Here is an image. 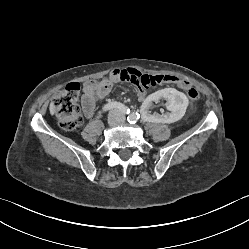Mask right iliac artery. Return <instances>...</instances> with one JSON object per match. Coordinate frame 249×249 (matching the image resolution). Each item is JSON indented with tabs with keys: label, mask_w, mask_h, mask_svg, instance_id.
Listing matches in <instances>:
<instances>
[{
	"label": "right iliac artery",
	"mask_w": 249,
	"mask_h": 249,
	"mask_svg": "<svg viewBox=\"0 0 249 249\" xmlns=\"http://www.w3.org/2000/svg\"><path fill=\"white\" fill-rule=\"evenodd\" d=\"M114 108L118 109L122 114H129L130 113V109L119 102L108 103V104L104 105L102 110H103V112H106V111L114 109Z\"/></svg>",
	"instance_id": "1"
}]
</instances>
